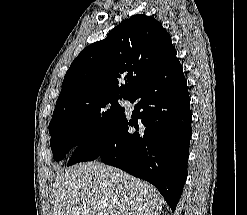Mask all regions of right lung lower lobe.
I'll return each instance as SVG.
<instances>
[{
	"label": "right lung lower lobe",
	"mask_w": 247,
	"mask_h": 215,
	"mask_svg": "<svg viewBox=\"0 0 247 215\" xmlns=\"http://www.w3.org/2000/svg\"><path fill=\"white\" fill-rule=\"evenodd\" d=\"M174 49L163 65L128 96L131 119L122 113L81 142L68 166L96 158L153 184L174 212L187 178L191 139L190 98ZM135 128V131L132 130Z\"/></svg>",
	"instance_id": "right-lung-lower-lobe-1"
}]
</instances>
